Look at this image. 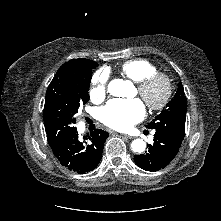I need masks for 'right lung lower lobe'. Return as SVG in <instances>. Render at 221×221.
I'll return each instance as SVG.
<instances>
[{
  "label": "right lung lower lobe",
  "mask_w": 221,
  "mask_h": 221,
  "mask_svg": "<svg viewBox=\"0 0 221 221\" xmlns=\"http://www.w3.org/2000/svg\"><path fill=\"white\" fill-rule=\"evenodd\" d=\"M108 137L109 133L102 129L95 130L83 139L74 131L66 139L50 147L63 166L78 174H85L97 167Z\"/></svg>",
  "instance_id": "98d812e1"
}]
</instances>
